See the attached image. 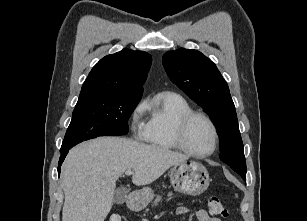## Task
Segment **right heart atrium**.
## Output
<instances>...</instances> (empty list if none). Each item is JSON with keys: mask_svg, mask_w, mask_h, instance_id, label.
<instances>
[{"mask_svg": "<svg viewBox=\"0 0 307 221\" xmlns=\"http://www.w3.org/2000/svg\"><path fill=\"white\" fill-rule=\"evenodd\" d=\"M145 110H146V103L141 102L135 106L130 116L132 130L134 131L135 137L138 139L145 138L146 125L143 120V115Z\"/></svg>", "mask_w": 307, "mask_h": 221, "instance_id": "d8ad5b80", "label": "right heart atrium"}]
</instances>
